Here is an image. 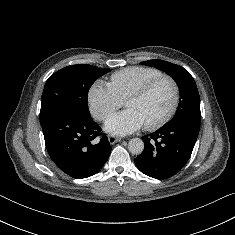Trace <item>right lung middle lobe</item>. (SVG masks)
I'll list each match as a JSON object with an SVG mask.
<instances>
[{"mask_svg":"<svg viewBox=\"0 0 235 235\" xmlns=\"http://www.w3.org/2000/svg\"><path fill=\"white\" fill-rule=\"evenodd\" d=\"M111 71L92 65L79 64L65 67L46 81L40 110V122L62 111L90 116L87 96L95 80Z\"/></svg>","mask_w":235,"mask_h":235,"instance_id":"1","label":"right lung middle lobe"}]
</instances>
